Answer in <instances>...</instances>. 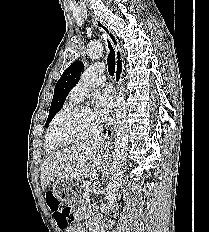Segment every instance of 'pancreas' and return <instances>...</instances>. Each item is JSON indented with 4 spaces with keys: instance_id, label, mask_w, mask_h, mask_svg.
I'll use <instances>...</instances> for the list:
<instances>
[{
    "instance_id": "obj_1",
    "label": "pancreas",
    "mask_w": 209,
    "mask_h": 232,
    "mask_svg": "<svg viewBox=\"0 0 209 232\" xmlns=\"http://www.w3.org/2000/svg\"><path fill=\"white\" fill-rule=\"evenodd\" d=\"M90 185H91V183H90L89 181H84V182L81 184V189H82V191H83V194H84L85 192H88V191H89ZM83 203H84V202H82V204H83Z\"/></svg>"
}]
</instances>
